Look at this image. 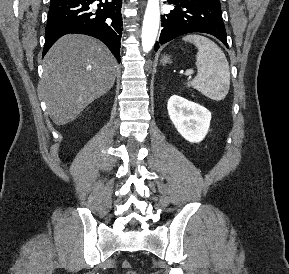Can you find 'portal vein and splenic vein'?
<instances>
[{"instance_id":"obj_1","label":"portal vein and splenic vein","mask_w":289,"mask_h":274,"mask_svg":"<svg viewBox=\"0 0 289 274\" xmlns=\"http://www.w3.org/2000/svg\"><path fill=\"white\" fill-rule=\"evenodd\" d=\"M190 74H191L190 72H187V73H186L187 76L190 75Z\"/></svg>"}]
</instances>
